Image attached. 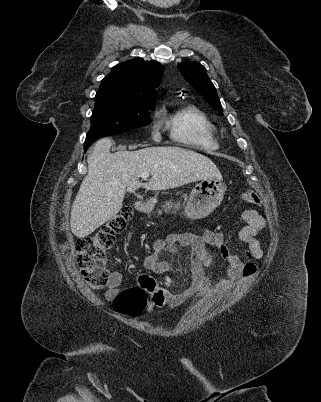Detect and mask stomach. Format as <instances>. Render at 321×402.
Here are the masks:
<instances>
[{
    "label": "stomach",
    "mask_w": 321,
    "mask_h": 402,
    "mask_svg": "<svg viewBox=\"0 0 321 402\" xmlns=\"http://www.w3.org/2000/svg\"><path fill=\"white\" fill-rule=\"evenodd\" d=\"M226 188L222 179L208 178L202 180L192 190L189 201L185 206V216L197 220L208 216L223 200ZM157 202L156 198L151 200L152 204ZM170 208V202L166 203Z\"/></svg>",
    "instance_id": "0dacf381"
}]
</instances>
